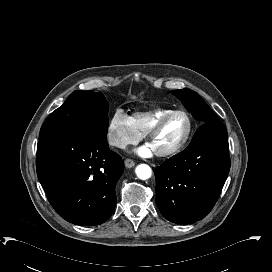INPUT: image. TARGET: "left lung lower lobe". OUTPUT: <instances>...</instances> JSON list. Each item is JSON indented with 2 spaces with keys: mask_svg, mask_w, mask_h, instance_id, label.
I'll use <instances>...</instances> for the list:
<instances>
[{
  "mask_svg": "<svg viewBox=\"0 0 272 272\" xmlns=\"http://www.w3.org/2000/svg\"><path fill=\"white\" fill-rule=\"evenodd\" d=\"M229 169L225 126L220 121L205 122L184 151L153 168L162 215L179 224L204 218L215 205Z\"/></svg>",
  "mask_w": 272,
  "mask_h": 272,
  "instance_id": "0a47b994",
  "label": "left lung lower lobe"
}]
</instances>
